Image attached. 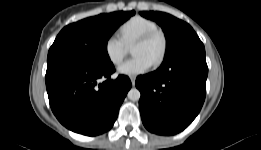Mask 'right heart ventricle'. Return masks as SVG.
<instances>
[{
  "label": "right heart ventricle",
  "instance_id": "obj_1",
  "mask_svg": "<svg viewBox=\"0 0 261 150\" xmlns=\"http://www.w3.org/2000/svg\"><path fill=\"white\" fill-rule=\"evenodd\" d=\"M157 28L158 25L155 21L136 15L119 27V35L127 46H131L140 36Z\"/></svg>",
  "mask_w": 261,
  "mask_h": 150
}]
</instances>
